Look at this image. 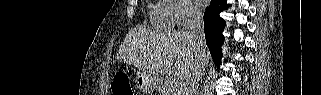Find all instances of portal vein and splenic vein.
I'll return each mask as SVG.
<instances>
[{"instance_id": "portal-vein-and-splenic-vein-1", "label": "portal vein and splenic vein", "mask_w": 321, "mask_h": 95, "mask_svg": "<svg viewBox=\"0 0 321 95\" xmlns=\"http://www.w3.org/2000/svg\"><path fill=\"white\" fill-rule=\"evenodd\" d=\"M169 85L173 88H177L178 87V82L176 81V78H172L170 81H169Z\"/></svg>"}]
</instances>
